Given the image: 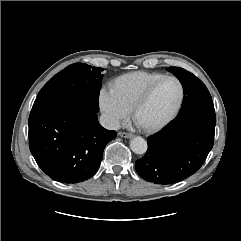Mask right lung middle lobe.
I'll return each instance as SVG.
<instances>
[{
	"mask_svg": "<svg viewBox=\"0 0 241 241\" xmlns=\"http://www.w3.org/2000/svg\"><path fill=\"white\" fill-rule=\"evenodd\" d=\"M102 68L75 63L52 77L40 90L32 111L42 108L79 104L99 111Z\"/></svg>",
	"mask_w": 241,
	"mask_h": 241,
	"instance_id": "1",
	"label": "right lung middle lobe"
}]
</instances>
